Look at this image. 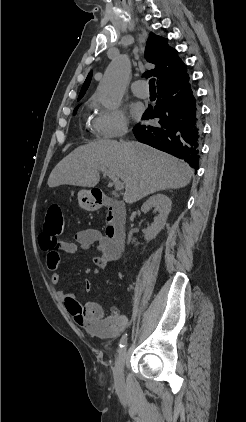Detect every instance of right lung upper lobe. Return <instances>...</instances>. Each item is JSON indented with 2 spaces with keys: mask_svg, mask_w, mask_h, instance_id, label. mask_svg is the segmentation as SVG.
<instances>
[{
  "mask_svg": "<svg viewBox=\"0 0 246 422\" xmlns=\"http://www.w3.org/2000/svg\"><path fill=\"white\" fill-rule=\"evenodd\" d=\"M145 57L148 62L155 64V69L147 71L144 76L153 75L157 77V88L175 82L187 75L186 65L177 56V51L168 46L166 39L152 32L147 40ZM91 77L90 72L81 88L78 101L84 96Z\"/></svg>",
  "mask_w": 246,
  "mask_h": 422,
  "instance_id": "right-lung-upper-lobe-1",
  "label": "right lung upper lobe"
}]
</instances>
